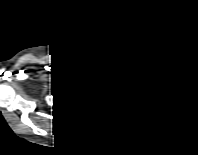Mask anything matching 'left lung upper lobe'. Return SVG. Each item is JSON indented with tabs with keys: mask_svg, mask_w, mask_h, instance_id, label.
I'll return each mask as SVG.
<instances>
[{
	"mask_svg": "<svg viewBox=\"0 0 198 155\" xmlns=\"http://www.w3.org/2000/svg\"><path fill=\"white\" fill-rule=\"evenodd\" d=\"M124 96L139 107H147L159 102L163 97L160 83L140 70H134L122 83Z\"/></svg>",
	"mask_w": 198,
	"mask_h": 155,
	"instance_id": "obj_1",
	"label": "left lung upper lobe"
}]
</instances>
